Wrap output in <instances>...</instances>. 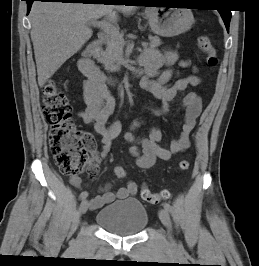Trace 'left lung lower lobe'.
<instances>
[{
	"label": "left lung lower lobe",
	"instance_id": "1",
	"mask_svg": "<svg viewBox=\"0 0 259 266\" xmlns=\"http://www.w3.org/2000/svg\"><path fill=\"white\" fill-rule=\"evenodd\" d=\"M144 3H164L162 1H156V2H147L144 1ZM219 12L221 13V17L224 21V24L227 28V31H229V24H230V19H231V11L227 9H220Z\"/></svg>",
	"mask_w": 259,
	"mask_h": 266
}]
</instances>
